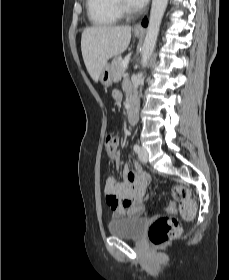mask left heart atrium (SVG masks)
I'll return each mask as SVG.
<instances>
[{"label":"left heart atrium","instance_id":"1","mask_svg":"<svg viewBox=\"0 0 229 280\" xmlns=\"http://www.w3.org/2000/svg\"><path fill=\"white\" fill-rule=\"evenodd\" d=\"M130 6L137 8L143 6L147 0H127Z\"/></svg>","mask_w":229,"mask_h":280}]
</instances>
